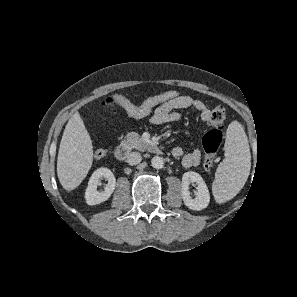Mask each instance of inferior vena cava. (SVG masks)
Listing matches in <instances>:
<instances>
[{
    "mask_svg": "<svg viewBox=\"0 0 297 297\" xmlns=\"http://www.w3.org/2000/svg\"><path fill=\"white\" fill-rule=\"evenodd\" d=\"M141 160H142V157L139 152H132L128 154L126 162L129 165H136V164H139Z\"/></svg>",
    "mask_w": 297,
    "mask_h": 297,
    "instance_id": "obj_1",
    "label": "inferior vena cava"
}]
</instances>
